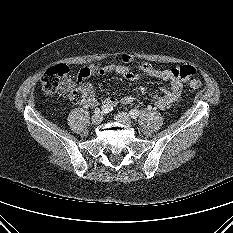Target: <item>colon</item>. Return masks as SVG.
Instances as JSON below:
<instances>
[{
    "instance_id": "obj_1",
    "label": "colon",
    "mask_w": 233,
    "mask_h": 233,
    "mask_svg": "<svg viewBox=\"0 0 233 233\" xmlns=\"http://www.w3.org/2000/svg\"><path fill=\"white\" fill-rule=\"evenodd\" d=\"M70 72V68L64 64L46 70L41 79L43 92L49 96L61 95L72 103L82 102L84 96L79 89L73 87ZM195 74L196 69L191 65H183L175 70V75L182 79H190ZM189 87L191 90H198L201 87V82L197 79H191Z\"/></svg>"
}]
</instances>
